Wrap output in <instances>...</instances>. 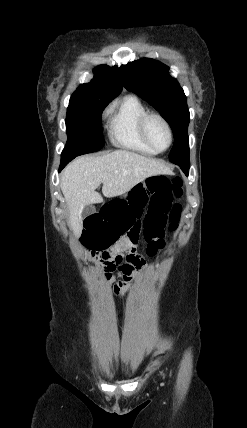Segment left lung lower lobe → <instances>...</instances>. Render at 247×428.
<instances>
[{"instance_id":"0a47b994","label":"left lung lower lobe","mask_w":247,"mask_h":428,"mask_svg":"<svg viewBox=\"0 0 247 428\" xmlns=\"http://www.w3.org/2000/svg\"><path fill=\"white\" fill-rule=\"evenodd\" d=\"M177 165H179L182 169V171L188 175V169L190 168V163H182V162H178L176 163Z\"/></svg>"}]
</instances>
